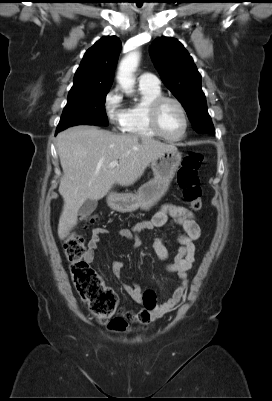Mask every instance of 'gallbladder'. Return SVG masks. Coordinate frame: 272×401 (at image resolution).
Masks as SVG:
<instances>
[{"mask_svg": "<svg viewBox=\"0 0 272 401\" xmlns=\"http://www.w3.org/2000/svg\"><path fill=\"white\" fill-rule=\"evenodd\" d=\"M97 207V200L87 199L79 209V215L86 217L91 215Z\"/></svg>", "mask_w": 272, "mask_h": 401, "instance_id": "1", "label": "gallbladder"}]
</instances>
